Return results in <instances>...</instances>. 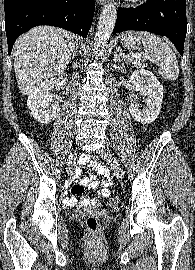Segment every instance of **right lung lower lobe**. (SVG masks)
Returning <instances> with one entry per match:
<instances>
[{
    "label": "right lung lower lobe",
    "mask_w": 195,
    "mask_h": 270,
    "mask_svg": "<svg viewBox=\"0 0 195 270\" xmlns=\"http://www.w3.org/2000/svg\"><path fill=\"white\" fill-rule=\"evenodd\" d=\"M8 53L22 33L38 25H51L88 35L94 0H4Z\"/></svg>",
    "instance_id": "98d812e1"
}]
</instances>
